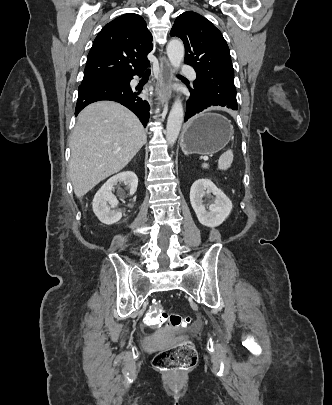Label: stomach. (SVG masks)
I'll return each mask as SVG.
<instances>
[{
    "mask_svg": "<svg viewBox=\"0 0 332 405\" xmlns=\"http://www.w3.org/2000/svg\"><path fill=\"white\" fill-rule=\"evenodd\" d=\"M232 132V126L224 116L207 110L187 123L181 148L186 154L212 155L228 144Z\"/></svg>",
    "mask_w": 332,
    "mask_h": 405,
    "instance_id": "1",
    "label": "stomach"
}]
</instances>
